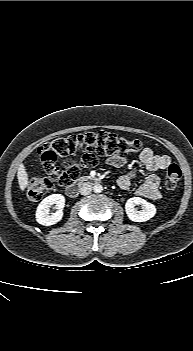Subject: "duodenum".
Wrapping results in <instances>:
<instances>
[{"instance_id":"1","label":"duodenum","mask_w":193,"mask_h":351,"mask_svg":"<svg viewBox=\"0 0 193 351\" xmlns=\"http://www.w3.org/2000/svg\"><path fill=\"white\" fill-rule=\"evenodd\" d=\"M100 181L99 178L97 177H94V176H82L78 179V181L70 186L67 187L66 189V194L69 196V197H76L78 192H79V189L86 185V184H95V183H98Z\"/></svg>"}]
</instances>
